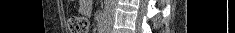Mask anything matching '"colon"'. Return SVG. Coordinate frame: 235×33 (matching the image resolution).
I'll return each instance as SVG.
<instances>
[{"mask_svg": "<svg viewBox=\"0 0 235 33\" xmlns=\"http://www.w3.org/2000/svg\"><path fill=\"white\" fill-rule=\"evenodd\" d=\"M69 29L71 33H88L89 24L84 17H72L69 20Z\"/></svg>", "mask_w": 235, "mask_h": 33, "instance_id": "1", "label": "colon"}]
</instances>
